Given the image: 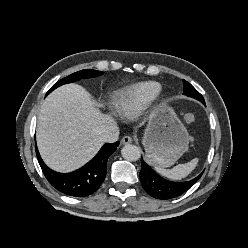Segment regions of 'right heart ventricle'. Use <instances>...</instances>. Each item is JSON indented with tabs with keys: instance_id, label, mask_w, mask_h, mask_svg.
<instances>
[{
	"instance_id": "right-heart-ventricle-1",
	"label": "right heart ventricle",
	"mask_w": 248,
	"mask_h": 248,
	"mask_svg": "<svg viewBox=\"0 0 248 248\" xmlns=\"http://www.w3.org/2000/svg\"><path fill=\"white\" fill-rule=\"evenodd\" d=\"M161 91V85L155 81H144L128 86L119 91L114 99L115 114L130 120L137 117Z\"/></svg>"
}]
</instances>
